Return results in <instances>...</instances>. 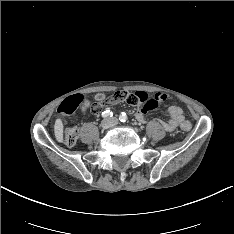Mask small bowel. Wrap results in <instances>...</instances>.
<instances>
[{"label": "small bowel", "mask_w": 234, "mask_h": 234, "mask_svg": "<svg viewBox=\"0 0 234 234\" xmlns=\"http://www.w3.org/2000/svg\"><path fill=\"white\" fill-rule=\"evenodd\" d=\"M147 111L148 109L146 108H139L135 111V118L140 122H145ZM166 115L169 117V120L167 122H164L163 126L167 131H173L175 128L185 122L183 110L179 106L168 107L166 110Z\"/></svg>", "instance_id": "c3829d8e"}]
</instances>
